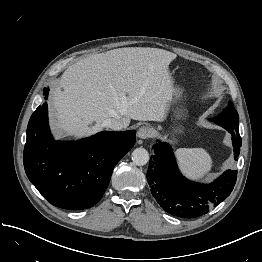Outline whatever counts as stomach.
I'll list each match as a JSON object with an SVG mask.
<instances>
[{
	"label": "stomach",
	"mask_w": 262,
	"mask_h": 262,
	"mask_svg": "<svg viewBox=\"0 0 262 262\" xmlns=\"http://www.w3.org/2000/svg\"><path fill=\"white\" fill-rule=\"evenodd\" d=\"M182 97V91L180 90V88L178 87H174V93H173V96H172V100L174 102H177L178 100H180ZM177 117L178 118H181L182 115L180 112H178L177 114ZM182 134V129L180 127H177L175 128L173 131H172V138L173 140L176 142L178 140V137Z\"/></svg>",
	"instance_id": "obj_1"
}]
</instances>
